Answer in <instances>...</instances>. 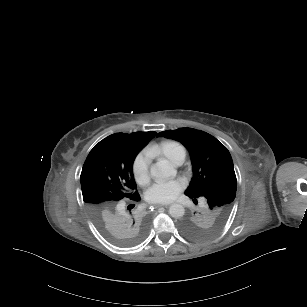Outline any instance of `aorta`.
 Masks as SVG:
<instances>
[{
  "mask_svg": "<svg viewBox=\"0 0 307 307\" xmlns=\"http://www.w3.org/2000/svg\"><path fill=\"white\" fill-rule=\"evenodd\" d=\"M150 173L156 180H166L174 178L177 175V170L167 159H161L151 166ZM184 213L185 209L181 204L173 203L169 207V214L173 218L179 219L183 217Z\"/></svg>",
  "mask_w": 307,
  "mask_h": 307,
  "instance_id": "obj_1",
  "label": "aorta"
}]
</instances>
